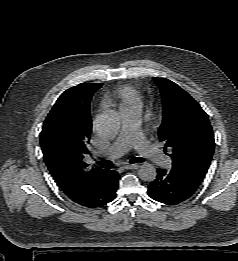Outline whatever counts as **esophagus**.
I'll list each match as a JSON object with an SVG mask.
<instances>
[{"label":"esophagus","instance_id":"esophagus-1","mask_svg":"<svg viewBox=\"0 0 238 261\" xmlns=\"http://www.w3.org/2000/svg\"><path fill=\"white\" fill-rule=\"evenodd\" d=\"M139 167L138 164H125L123 166L124 169L130 170V169H137Z\"/></svg>","mask_w":238,"mask_h":261}]
</instances>
